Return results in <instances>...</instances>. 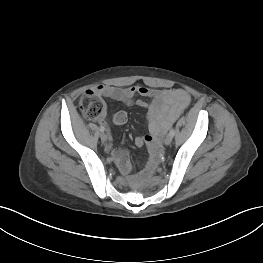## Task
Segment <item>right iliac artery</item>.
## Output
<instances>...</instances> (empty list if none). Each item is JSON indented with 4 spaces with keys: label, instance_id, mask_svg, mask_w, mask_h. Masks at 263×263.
Listing matches in <instances>:
<instances>
[{
    "label": "right iliac artery",
    "instance_id": "82829eb1",
    "mask_svg": "<svg viewBox=\"0 0 263 263\" xmlns=\"http://www.w3.org/2000/svg\"><path fill=\"white\" fill-rule=\"evenodd\" d=\"M100 131L104 132L105 131V127L104 126H100Z\"/></svg>",
    "mask_w": 263,
    "mask_h": 263
}]
</instances>
